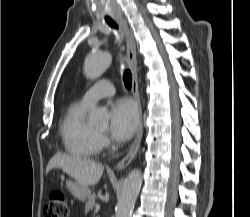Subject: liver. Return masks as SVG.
<instances>
[{
	"mask_svg": "<svg viewBox=\"0 0 250 217\" xmlns=\"http://www.w3.org/2000/svg\"><path fill=\"white\" fill-rule=\"evenodd\" d=\"M54 168L62 169L81 186H92L99 182L104 166L89 159L56 153L48 162L46 173Z\"/></svg>",
	"mask_w": 250,
	"mask_h": 217,
	"instance_id": "6515ba94",
	"label": "liver"
}]
</instances>
